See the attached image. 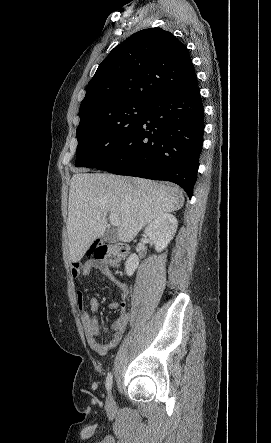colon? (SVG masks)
Instances as JSON below:
<instances>
[{
  "instance_id": "1",
  "label": "colon",
  "mask_w": 271,
  "mask_h": 443,
  "mask_svg": "<svg viewBox=\"0 0 271 443\" xmlns=\"http://www.w3.org/2000/svg\"><path fill=\"white\" fill-rule=\"evenodd\" d=\"M128 248L123 243H109L95 245L90 254L97 259L105 261L110 266H117L127 255Z\"/></svg>"
}]
</instances>
